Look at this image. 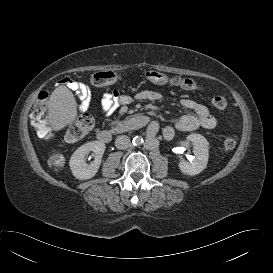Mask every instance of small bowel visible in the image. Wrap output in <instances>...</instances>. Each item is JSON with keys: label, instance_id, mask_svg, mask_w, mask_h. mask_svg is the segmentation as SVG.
<instances>
[{"label": "small bowel", "instance_id": "small-bowel-1", "mask_svg": "<svg viewBox=\"0 0 273 273\" xmlns=\"http://www.w3.org/2000/svg\"><path fill=\"white\" fill-rule=\"evenodd\" d=\"M62 82L79 95L81 100L80 110H86L89 107L92 98L89 87L86 84L71 78H65ZM182 88L193 91L186 87ZM136 98L142 101L156 102L160 101L163 98V95L158 90L146 89L140 91L136 95ZM132 101L133 98L131 96L119 94L118 91H113L112 93H105L102 95L99 106L103 113H111L117 107L128 105ZM180 104L182 107L192 110L193 114H185L177 119L175 128L178 131L189 132L199 128L213 129L216 126V119L211 115L209 109L205 105L189 98L181 99ZM162 134L166 140H171L175 136V129L171 125H166L162 129Z\"/></svg>", "mask_w": 273, "mask_h": 273}]
</instances>
